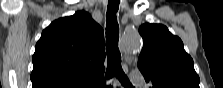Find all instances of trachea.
Here are the masks:
<instances>
[{
    "label": "trachea",
    "mask_w": 223,
    "mask_h": 88,
    "mask_svg": "<svg viewBox=\"0 0 223 88\" xmlns=\"http://www.w3.org/2000/svg\"><path fill=\"white\" fill-rule=\"evenodd\" d=\"M120 0H109L106 13V53H107V71L108 79L117 77L125 87H132L129 79L121 67V54L118 48L119 27L116 19V13L119 8Z\"/></svg>",
    "instance_id": "trachea-1"
}]
</instances>
